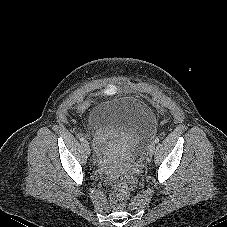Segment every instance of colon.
I'll return each mask as SVG.
<instances>
[{"label":"colon","instance_id":"colon-1","mask_svg":"<svg viewBox=\"0 0 227 227\" xmlns=\"http://www.w3.org/2000/svg\"><path fill=\"white\" fill-rule=\"evenodd\" d=\"M133 186L134 180L131 177L117 175L113 178L110 198L114 208L120 209L125 205Z\"/></svg>","mask_w":227,"mask_h":227}]
</instances>
